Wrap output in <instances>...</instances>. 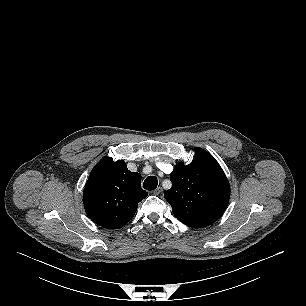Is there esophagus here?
Returning <instances> with one entry per match:
<instances>
[{
    "mask_svg": "<svg viewBox=\"0 0 306 306\" xmlns=\"http://www.w3.org/2000/svg\"><path fill=\"white\" fill-rule=\"evenodd\" d=\"M162 191H163L162 187H158V188H156V189L153 191V193H154L155 195H159L160 193H162Z\"/></svg>",
    "mask_w": 306,
    "mask_h": 306,
    "instance_id": "obj_1",
    "label": "esophagus"
}]
</instances>
